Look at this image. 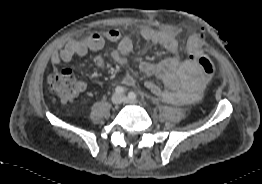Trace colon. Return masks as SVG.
<instances>
[{
	"label": "colon",
	"mask_w": 262,
	"mask_h": 184,
	"mask_svg": "<svg viewBox=\"0 0 262 184\" xmlns=\"http://www.w3.org/2000/svg\"><path fill=\"white\" fill-rule=\"evenodd\" d=\"M195 61L207 79L215 75V64L206 54L196 53ZM48 88L62 103H67L77 96L82 86L71 70L64 69L49 75Z\"/></svg>",
	"instance_id": "1"
}]
</instances>
